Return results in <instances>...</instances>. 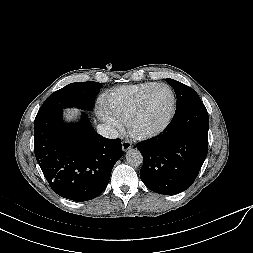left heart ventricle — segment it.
Segmentation results:
<instances>
[{
	"label": "left heart ventricle",
	"instance_id": "b2bd125f",
	"mask_svg": "<svg viewBox=\"0 0 253 253\" xmlns=\"http://www.w3.org/2000/svg\"><path fill=\"white\" fill-rule=\"evenodd\" d=\"M172 107V96L168 88L159 86L148 95L136 127L142 130L160 127L168 118Z\"/></svg>",
	"mask_w": 253,
	"mask_h": 253
}]
</instances>
